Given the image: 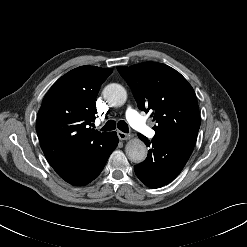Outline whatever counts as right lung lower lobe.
I'll list each match as a JSON object with an SVG mask.
<instances>
[{
  "mask_svg": "<svg viewBox=\"0 0 247 247\" xmlns=\"http://www.w3.org/2000/svg\"><path fill=\"white\" fill-rule=\"evenodd\" d=\"M117 144L118 137L111 132L98 143L71 153L52 167L66 182L86 185L100 174Z\"/></svg>",
  "mask_w": 247,
  "mask_h": 247,
  "instance_id": "obj_1",
  "label": "right lung lower lobe"
}]
</instances>
